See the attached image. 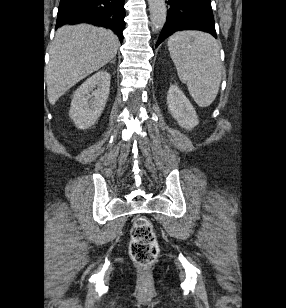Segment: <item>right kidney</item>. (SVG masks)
<instances>
[{"label": "right kidney", "instance_id": "1", "mask_svg": "<svg viewBox=\"0 0 286 308\" xmlns=\"http://www.w3.org/2000/svg\"><path fill=\"white\" fill-rule=\"evenodd\" d=\"M110 78L107 71H99L75 91L69 116L77 128L88 129L98 120L108 99Z\"/></svg>", "mask_w": 286, "mask_h": 308}]
</instances>
